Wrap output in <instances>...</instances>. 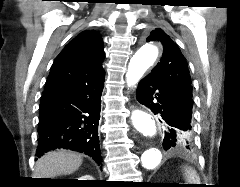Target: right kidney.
I'll list each match as a JSON object with an SVG mask.
<instances>
[{"label": "right kidney", "mask_w": 240, "mask_h": 187, "mask_svg": "<svg viewBox=\"0 0 240 187\" xmlns=\"http://www.w3.org/2000/svg\"><path fill=\"white\" fill-rule=\"evenodd\" d=\"M79 180H94V178L90 175L82 176L81 178H78Z\"/></svg>", "instance_id": "right-kidney-1"}]
</instances>
